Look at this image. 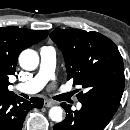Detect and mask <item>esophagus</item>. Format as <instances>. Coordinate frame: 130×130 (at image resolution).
Segmentation results:
<instances>
[{
    "instance_id": "esophagus-1",
    "label": "esophagus",
    "mask_w": 130,
    "mask_h": 130,
    "mask_svg": "<svg viewBox=\"0 0 130 130\" xmlns=\"http://www.w3.org/2000/svg\"><path fill=\"white\" fill-rule=\"evenodd\" d=\"M56 104H57L56 101H52V100H45V101H44V106H45V107H52V106H54V105H56Z\"/></svg>"
}]
</instances>
